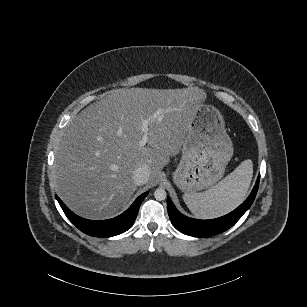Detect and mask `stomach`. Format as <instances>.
Listing matches in <instances>:
<instances>
[{
  "label": "stomach",
  "instance_id": "stomach-1",
  "mask_svg": "<svg viewBox=\"0 0 307 307\" xmlns=\"http://www.w3.org/2000/svg\"><path fill=\"white\" fill-rule=\"evenodd\" d=\"M232 156L233 144L222 113L209 103H198L190 117L174 182L187 193L208 188L224 176Z\"/></svg>",
  "mask_w": 307,
  "mask_h": 307
}]
</instances>
